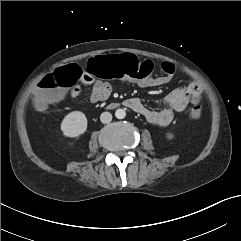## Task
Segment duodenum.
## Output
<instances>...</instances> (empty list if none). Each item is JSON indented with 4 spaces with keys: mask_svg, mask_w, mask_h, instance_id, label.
I'll use <instances>...</instances> for the list:
<instances>
[{
    "mask_svg": "<svg viewBox=\"0 0 241 241\" xmlns=\"http://www.w3.org/2000/svg\"><path fill=\"white\" fill-rule=\"evenodd\" d=\"M116 106H117V104H111V105H110L111 108H114V107H116Z\"/></svg>",
    "mask_w": 241,
    "mask_h": 241,
    "instance_id": "410a0bca",
    "label": "duodenum"
}]
</instances>
